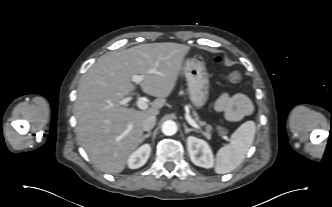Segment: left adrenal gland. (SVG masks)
<instances>
[{
	"label": "left adrenal gland",
	"mask_w": 332,
	"mask_h": 207,
	"mask_svg": "<svg viewBox=\"0 0 332 207\" xmlns=\"http://www.w3.org/2000/svg\"><path fill=\"white\" fill-rule=\"evenodd\" d=\"M183 126H184V128H185V133H186V134H188V133L191 132V131L197 132V130H195V129L188 128V127L186 126V124H183Z\"/></svg>",
	"instance_id": "1"
}]
</instances>
